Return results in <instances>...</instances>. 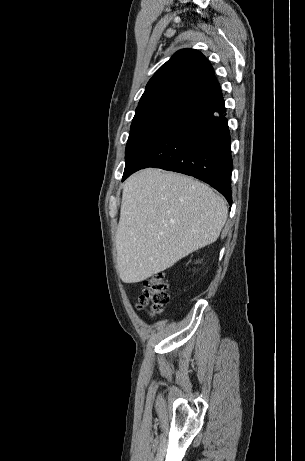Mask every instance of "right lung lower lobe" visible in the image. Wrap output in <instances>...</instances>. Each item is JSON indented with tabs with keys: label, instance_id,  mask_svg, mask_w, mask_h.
Wrapping results in <instances>:
<instances>
[{
	"label": "right lung lower lobe",
	"instance_id": "1",
	"mask_svg": "<svg viewBox=\"0 0 305 461\" xmlns=\"http://www.w3.org/2000/svg\"><path fill=\"white\" fill-rule=\"evenodd\" d=\"M221 90L189 107L132 167L123 179L137 170L156 167L198 178L228 201L231 199V138Z\"/></svg>",
	"mask_w": 305,
	"mask_h": 461
}]
</instances>
